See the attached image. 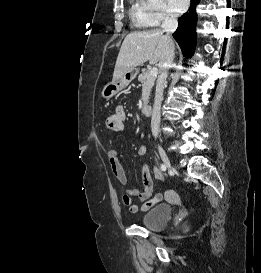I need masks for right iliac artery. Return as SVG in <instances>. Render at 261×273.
I'll use <instances>...</instances> for the list:
<instances>
[{"mask_svg": "<svg viewBox=\"0 0 261 273\" xmlns=\"http://www.w3.org/2000/svg\"><path fill=\"white\" fill-rule=\"evenodd\" d=\"M160 169H161L162 171H165V170H166V166H165L164 164H161V165H160Z\"/></svg>", "mask_w": 261, "mask_h": 273, "instance_id": "right-iliac-artery-1", "label": "right iliac artery"}]
</instances>
